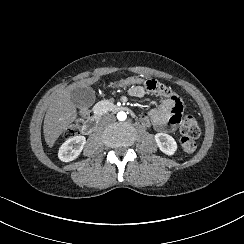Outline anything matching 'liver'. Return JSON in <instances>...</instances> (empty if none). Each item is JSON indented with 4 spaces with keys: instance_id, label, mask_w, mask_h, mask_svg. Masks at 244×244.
Instances as JSON below:
<instances>
[{
    "instance_id": "obj_1",
    "label": "liver",
    "mask_w": 244,
    "mask_h": 244,
    "mask_svg": "<svg viewBox=\"0 0 244 244\" xmlns=\"http://www.w3.org/2000/svg\"><path fill=\"white\" fill-rule=\"evenodd\" d=\"M99 79L100 77L82 79L59 91L53 98L44 120V137L50 148L54 146L63 131L78 117L76 106L71 100L72 91L76 88H87Z\"/></svg>"
}]
</instances>
